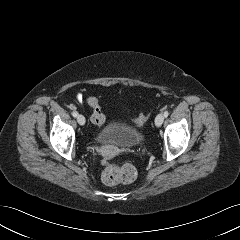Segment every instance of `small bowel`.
<instances>
[{
  "label": "small bowel",
  "instance_id": "obj_1",
  "mask_svg": "<svg viewBox=\"0 0 240 240\" xmlns=\"http://www.w3.org/2000/svg\"><path fill=\"white\" fill-rule=\"evenodd\" d=\"M78 100L81 101L82 100V96L78 95Z\"/></svg>",
  "mask_w": 240,
  "mask_h": 240
}]
</instances>
